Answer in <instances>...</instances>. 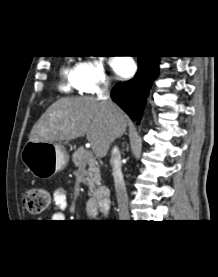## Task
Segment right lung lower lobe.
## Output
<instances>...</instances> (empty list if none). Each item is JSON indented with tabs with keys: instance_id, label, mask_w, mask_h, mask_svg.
I'll return each instance as SVG.
<instances>
[{
	"instance_id": "98d812e1",
	"label": "right lung lower lobe",
	"mask_w": 218,
	"mask_h": 277,
	"mask_svg": "<svg viewBox=\"0 0 218 277\" xmlns=\"http://www.w3.org/2000/svg\"><path fill=\"white\" fill-rule=\"evenodd\" d=\"M135 77L118 83L111 91L112 99L130 116L140 121L153 80L158 76V56H139Z\"/></svg>"
}]
</instances>
